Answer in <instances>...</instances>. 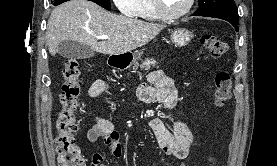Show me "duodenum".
<instances>
[{"instance_id": "duodenum-1", "label": "duodenum", "mask_w": 277, "mask_h": 166, "mask_svg": "<svg viewBox=\"0 0 277 166\" xmlns=\"http://www.w3.org/2000/svg\"><path fill=\"white\" fill-rule=\"evenodd\" d=\"M111 65L114 66V67H120L121 66V64L118 61H112Z\"/></svg>"}]
</instances>
